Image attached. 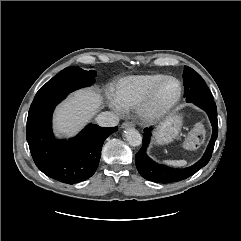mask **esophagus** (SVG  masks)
Returning <instances> with one entry per match:
<instances>
[{"label": "esophagus", "instance_id": "obj_1", "mask_svg": "<svg viewBox=\"0 0 241 241\" xmlns=\"http://www.w3.org/2000/svg\"><path fill=\"white\" fill-rule=\"evenodd\" d=\"M132 127H134V124L131 123V122H124L121 125V128H123V129H125V128H132Z\"/></svg>", "mask_w": 241, "mask_h": 241}]
</instances>
